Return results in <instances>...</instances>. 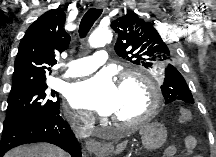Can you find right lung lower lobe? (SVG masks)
<instances>
[{
  "instance_id": "1",
  "label": "right lung lower lobe",
  "mask_w": 216,
  "mask_h": 157,
  "mask_svg": "<svg viewBox=\"0 0 216 157\" xmlns=\"http://www.w3.org/2000/svg\"><path fill=\"white\" fill-rule=\"evenodd\" d=\"M59 113L34 117L4 128L0 139V157L14 147L33 142L52 143L67 151L71 157H82L79 143Z\"/></svg>"
}]
</instances>
